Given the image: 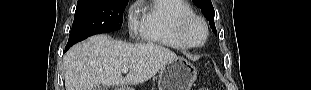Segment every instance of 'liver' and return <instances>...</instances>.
Instances as JSON below:
<instances>
[{"label":"liver","mask_w":311,"mask_h":90,"mask_svg":"<svg viewBox=\"0 0 311 90\" xmlns=\"http://www.w3.org/2000/svg\"><path fill=\"white\" fill-rule=\"evenodd\" d=\"M177 55L152 43L131 44L96 35L74 45L64 57L66 90H96L105 86L137 85L151 79ZM129 73L123 77L122 68Z\"/></svg>","instance_id":"liver-1"}]
</instances>
